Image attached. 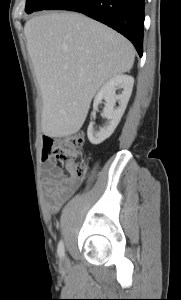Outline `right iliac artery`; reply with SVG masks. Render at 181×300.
I'll use <instances>...</instances> for the list:
<instances>
[{
	"mask_svg": "<svg viewBox=\"0 0 181 300\" xmlns=\"http://www.w3.org/2000/svg\"><path fill=\"white\" fill-rule=\"evenodd\" d=\"M57 253L60 258L64 257L65 250H64V243L62 240L58 243Z\"/></svg>",
	"mask_w": 181,
	"mask_h": 300,
	"instance_id": "obj_1",
	"label": "right iliac artery"
}]
</instances>
